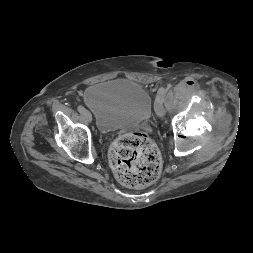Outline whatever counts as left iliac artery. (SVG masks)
I'll return each mask as SVG.
<instances>
[{
	"label": "left iliac artery",
	"instance_id": "44dca946",
	"mask_svg": "<svg viewBox=\"0 0 253 253\" xmlns=\"http://www.w3.org/2000/svg\"><path fill=\"white\" fill-rule=\"evenodd\" d=\"M165 95H166V89L164 87H161L159 90H158V95L157 97H159L160 99H162V101L164 100L165 98Z\"/></svg>",
	"mask_w": 253,
	"mask_h": 253
}]
</instances>
